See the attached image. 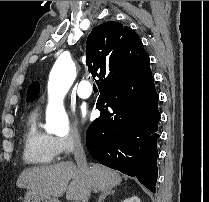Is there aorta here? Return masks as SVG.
<instances>
[{
  "mask_svg": "<svg viewBox=\"0 0 209 202\" xmlns=\"http://www.w3.org/2000/svg\"><path fill=\"white\" fill-rule=\"evenodd\" d=\"M76 77L75 65L68 54L56 60L48 80V107L45 129L49 133L67 134L69 119L63 106V98Z\"/></svg>",
  "mask_w": 209,
  "mask_h": 202,
  "instance_id": "1",
  "label": "aorta"
}]
</instances>
